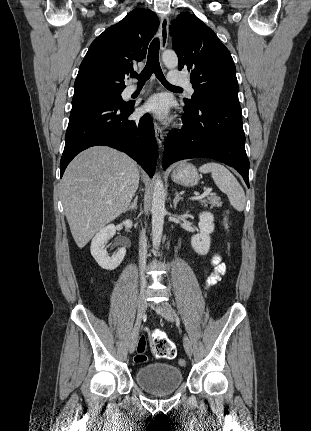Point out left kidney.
<instances>
[{
    "label": "left kidney",
    "instance_id": "obj_1",
    "mask_svg": "<svg viewBox=\"0 0 311 431\" xmlns=\"http://www.w3.org/2000/svg\"><path fill=\"white\" fill-rule=\"evenodd\" d=\"M198 227L200 229L199 235H192L191 245L197 253L200 255H205L208 253L211 245L210 233L214 231V216L210 212H202L199 214Z\"/></svg>",
    "mask_w": 311,
    "mask_h": 431
}]
</instances>
